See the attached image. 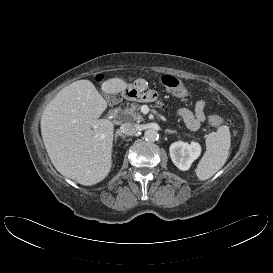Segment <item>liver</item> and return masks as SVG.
Segmentation results:
<instances>
[{"mask_svg": "<svg viewBox=\"0 0 273 273\" xmlns=\"http://www.w3.org/2000/svg\"><path fill=\"white\" fill-rule=\"evenodd\" d=\"M128 84L111 78L101 85L107 95L123 91ZM107 102L89 80L63 88L46 106L41 133L48 156L63 176L86 186L104 180L112 166L114 124L99 119Z\"/></svg>", "mask_w": 273, "mask_h": 273, "instance_id": "6515ba94", "label": "liver"}]
</instances>
